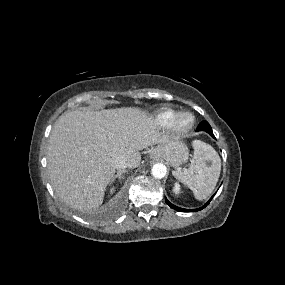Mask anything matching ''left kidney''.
Wrapping results in <instances>:
<instances>
[{
    "instance_id": "1",
    "label": "left kidney",
    "mask_w": 285,
    "mask_h": 285,
    "mask_svg": "<svg viewBox=\"0 0 285 285\" xmlns=\"http://www.w3.org/2000/svg\"><path fill=\"white\" fill-rule=\"evenodd\" d=\"M173 192L175 193V195H179L181 193V187H180L179 183L174 184Z\"/></svg>"
}]
</instances>
